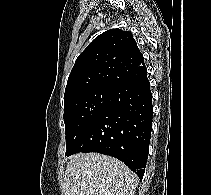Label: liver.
Segmentation results:
<instances>
[{
	"instance_id": "1",
	"label": "liver",
	"mask_w": 211,
	"mask_h": 195,
	"mask_svg": "<svg viewBox=\"0 0 211 195\" xmlns=\"http://www.w3.org/2000/svg\"><path fill=\"white\" fill-rule=\"evenodd\" d=\"M138 177L118 159L99 153L70 157L65 195H134Z\"/></svg>"
}]
</instances>
